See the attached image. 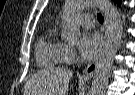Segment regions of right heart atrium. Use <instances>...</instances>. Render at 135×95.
Instances as JSON below:
<instances>
[{
  "mask_svg": "<svg viewBox=\"0 0 135 95\" xmlns=\"http://www.w3.org/2000/svg\"><path fill=\"white\" fill-rule=\"evenodd\" d=\"M74 58H75L74 49L69 46H65L64 52H63V59L68 62V61L73 60Z\"/></svg>",
  "mask_w": 135,
  "mask_h": 95,
  "instance_id": "d8ad5b80",
  "label": "right heart atrium"
}]
</instances>
